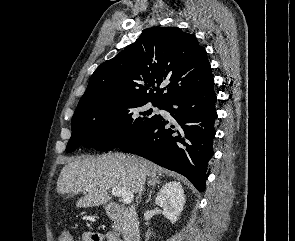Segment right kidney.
I'll return each mask as SVG.
<instances>
[{
    "instance_id": "obj_1",
    "label": "right kidney",
    "mask_w": 295,
    "mask_h": 241,
    "mask_svg": "<svg viewBox=\"0 0 295 241\" xmlns=\"http://www.w3.org/2000/svg\"><path fill=\"white\" fill-rule=\"evenodd\" d=\"M155 204L163 209V215L175 223L183 211L185 204V195L182 185L179 182L172 181L166 183L155 198ZM150 233L147 232L148 236Z\"/></svg>"
}]
</instances>
